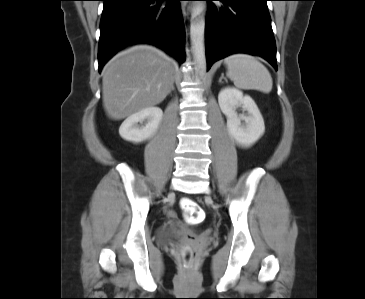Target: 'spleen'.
<instances>
[{"mask_svg":"<svg viewBox=\"0 0 365 299\" xmlns=\"http://www.w3.org/2000/svg\"><path fill=\"white\" fill-rule=\"evenodd\" d=\"M227 76L237 88L255 89L269 93L272 89V78L267 68L253 56L233 54L224 60Z\"/></svg>","mask_w":365,"mask_h":299,"instance_id":"spleen-1","label":"spleen"}]
</instances>
